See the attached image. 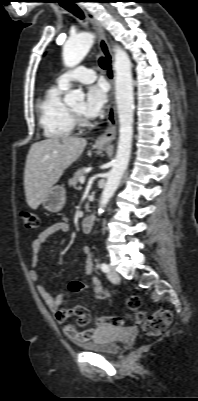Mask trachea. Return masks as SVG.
Segmentation results:
<instances>
[{"label": "trachea", "mask_w": 198, "mask_h": 401, "mask_svg": "<svg viewBox=\"0 0 198 401\" xmlns=\"http://www.w3.org/2000/svg\"><path fill=\"white\" fill-rule=\"evenodd\" d=\"M66 10L71 12L73 15L80 19H84V14L82 10L74 3V0H69L62 5ZM99 65L102 69H107L108 62L104 57L99 58Z\"/></svg>", "instance_id": "3493384b"}]
</instances>
